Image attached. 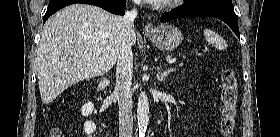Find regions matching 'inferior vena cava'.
Returning <instances> with one entry per match:
<instances>
[{"label": "inferior vena cava", "mask_w": 280, "mask_h": 137, "mask_svg": "<svg viewBox=\"0 0 280 137\" xmlns=\"http://www.w3.org/2000/svg\"><path fill=\"white\" fill-rule=\"evenodd\" d=\"M134 2L135 4H140V0H134ZM136 16L137 9L134 8L121 17L123 37L117 61L115 87L119 104V137H132L133 134V105L131 92L133 53L131 49V35L134 33L133 21Z\"/></svg>", "instance_id": "obj_1"}]
</instances>
